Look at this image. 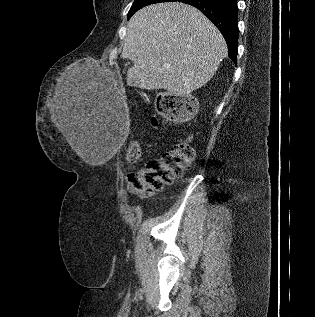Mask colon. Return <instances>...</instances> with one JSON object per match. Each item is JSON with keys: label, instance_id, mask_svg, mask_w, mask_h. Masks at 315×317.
<instances>
[{"label": "colon", "instance_id": "1", "mask_svg": "<svg viewBox=\"0 0 315 317\" xmlns=\"http://www.w3.org/2000/svg\"><path fill=\"white\" fill-rule=\"evenodd\" d=\"M195 107L194 99L189 96L163 94L157 99L159 113L170 120L190 119L195 112ZM152 123L157 127L156 118H153ZM140 155L139 144L137 142L130 144L127 149L128 160L136 162ZM194 155L191 138L187 136L181 139L161 158L148 161L139 170L129 175L130 191L139 196L151 195L160 191L165 185L182 176L183 172L190 166Z\"/></svg>", "mask_w": 315, "mask_h": 317}]
</instances>
